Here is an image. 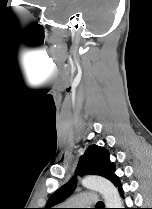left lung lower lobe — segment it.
<instances>
[{
    "mask_svg": "<svg viewBox=\"0 0 152 209\" xmlns=\"http://www.w3.org/2000/svg\"><path fill=\"white\" fill-rule=\"evenodd\" d=\"M119 191H120V193L123 192L121 185H119ZM125 209H129V208H125Z\"/></svg>",
    "mask_w": 152,
    "mask_h": 209,
    "instance_id": "obj_1",
    "label": "left lung lower lobe"
}]
</instances>
